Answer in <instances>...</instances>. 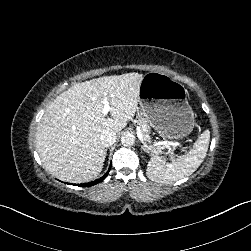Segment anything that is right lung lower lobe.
<instances>
[{"label": "right lung lower lobe", "mask_w": 251, "mask_h": 251, "mask_svg": "<svg viewBox=\"0 0 251 251\" xmlns=\"http://www.w3.org/2000/svg\"><path fill=\"white\" fill-rule=\"evenodd\" d=\"M110 168H111V166H110ZM110 168H109V170H110ZM109 170L105 173V175L103 176V177H101L100 179H97V180H95V181H93V182H90V183H86V184H78L77 186H93V185H95V184H97V183H99V182H101L102 180H104L105 178H106V176L108 175V173H109Z\"/></svg>", "instance_id": "1"}]
</instances>
